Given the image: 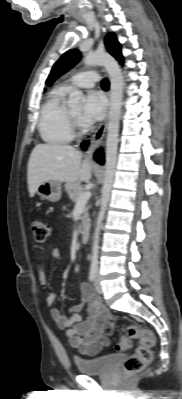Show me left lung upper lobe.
<instances>
[{
  "label": "left lung upper lobe",
  "instance_id": "1",
  "mask_svg": "<svg viewBox=\"0 0 182 399\" xmlns=\"http://www.w3.org/2000/svg\"><path fill=\"white\" fill-rule=\"evenodd\" d=\"M105 45L108 52L114 56L121 64H123V57L121 55V45L116 39L114 33H109L105 38ZM80 52L76 49L65 52L61 58L55 63L52 71L46 81L48 85H51L59 76L71 69L79 60Z\"/></svg>",
  "mask_w": 182,
  "mask_h": 399
}]
</instances>
